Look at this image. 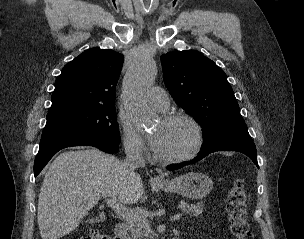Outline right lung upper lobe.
Masks as SVG:
<instances>
[{
  "label": "right lung upper lobe",
  "instance_id": "cb5924a9",
  "mask_svg": "<svg viewBox=\"0 0 304 239\" xmlns=\"http://www.w3.org/2000/svg\"><path fill=\"white\" fill-rule=\"evenodd\" d=\"M123 60L122 54L107 49L92 48L80 54L57 77L48 113L114 105Z\"/></svg>",
  "mask_w": 304,
  "mask_h": 239
}]
</instances>
